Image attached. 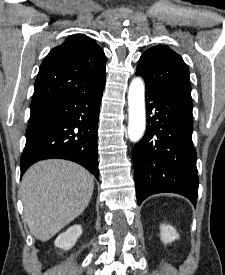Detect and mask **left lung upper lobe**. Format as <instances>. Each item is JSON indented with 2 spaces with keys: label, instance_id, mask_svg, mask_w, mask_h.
Listing matches in <instances>:
<instances>
[{
  "label": "left lung upper lobe",
  "instance_id": "left-lung-upper-lobe-1",
  "mask_svg": "<svg viewBox=\"0 0 225 275\" xmlns=\"http://www.w3.org/2000/svg\"><path fill=\"white\" fill-rule=\"evenodd\" d=\"M137 75L146 84L192 105L189 70L180 55L167 46L149 48L140 58Z\"/></svg>",
  "mask_w": 225,
  "mask_h": 275
}]
</instances>
